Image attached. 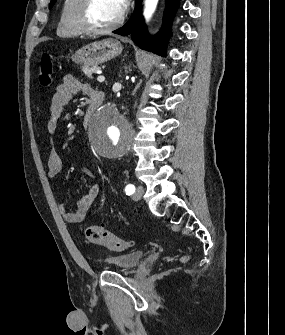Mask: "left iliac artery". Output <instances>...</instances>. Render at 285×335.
<instances>
[{"mask_svg":"<svg viewBox=\"0 0 285 335\" xmlns=\"http://www.w3.org/2000/svg\"><path fill=\"white\" fill-rule=\"evenodd\" d=\"M125 192L127 195L133 194L135 192V186L132 184L127 185L125 188Z\"/></svg>","mask_w":285,"mask_h":335,"instance_id":"obj_1","label":"left iliac artery"}]
</instances>
